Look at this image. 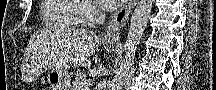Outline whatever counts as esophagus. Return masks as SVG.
<instances>
[{"label":"esophagus","mask_w":216,"mask_h":90,"mask_svg":"<svg viewBox=\"0 0 216 90\" xmlns=\"http://www.w3.org/2000/svg\"><path fill=\"white\" fill-rule=\"evenodd\" d=\"M136 5V0H128L109 19L108 26L103 35L106 42H119L120 31L128 21L129 15Z\"/></svg>","instance_id":"esophagus-1"}]
</instances>
